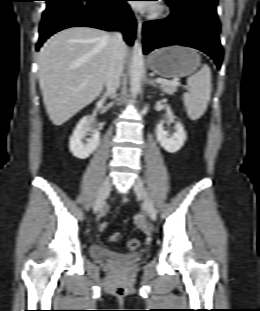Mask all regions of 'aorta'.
Segmentation results:
<instances>
[{
    "label": "aorta",
    "mask_w": 260,
    "mask_h": 311,
    "mask_svg": "<svg viewBox=\"0 0 260 311\" xmlns=\"http://www.w3.org/2000/svg\"><path fill=\"white\" fill-rule=\"evenodd\" d=\"M144 75V60L142 55L141 44L136 41L133 48V57L130 64V89L131 93L135 96L139 93L141 81Z\"/></svg>",
    "instance_id": "1"
}]
</instances>
